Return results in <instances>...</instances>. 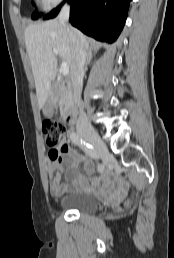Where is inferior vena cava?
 Returning <instances> with one entry per match:
<instances>
[{"mask_svg":"<svg viewBox=\"0 0 174 258\" xmlns=\"http://www.w3.org/2000/svg\"><path fill=\"white\" fill-rule=\"evenodd\" d=\"M70 7L66 4L61 9L58 20L59 22L66 27V31L70 38L71 46H72V63H71V81L73 85V97L74 101L79 107V117L77 120V130H91L92 127L87 119L86 114L83 111V107L81 104V91L83 86V72L84 65L86 62V51L80 45L77 37L73 33V31L66 26V23L69 19Z\"/></svg>","mask_w":174,"mask_h":258,"instance_id":"obj_1","label":"inferior vena cava"}]
</instances>
